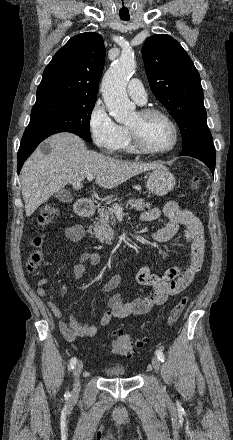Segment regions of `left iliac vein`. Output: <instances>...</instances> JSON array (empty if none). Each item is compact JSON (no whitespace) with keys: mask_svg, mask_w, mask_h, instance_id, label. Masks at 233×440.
I'll use <instances>...</instances> for the list:
<instances>
[{"mask_svg":"<svg viewBox=\"0 0 233 440\" xmlns=\"http://www.w3.org/2000/svg\"><path fill=\"white\" fill-rule=\"evenodd\" d=\"M152 365H153L154 370L158 373L160 370V366H161V363H160V360L158 359V357H156V356L152 357Z\"/></svg>","mask_w":233,"mask_h":440,"instance_id":"4c4485c4","label":"left iliac vein"}]
</instances>
